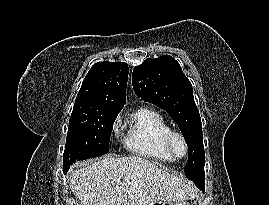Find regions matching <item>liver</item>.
Masks as SVG:
<instances>
[{"mask_svg":"<svg viewBox=\"0 0 269 205\" xmlns=\"http://www.w3.org/2000/svg\"><path fill=\"white\" fill-rule=\"evenodd\" d=\"M69 181L80 205H149L195 197L192 184L137 156H106L86 167H73Z\"/></svg>","mask_w":269,"mask_h":205,"instance_id":"6515ba94","label":"liver"}]
</instances>
